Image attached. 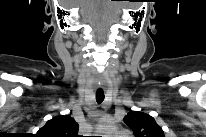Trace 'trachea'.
I'll return each instance as SVG.
<instances>
[{"label":"trachea","mask_w":206,"mask_h":137,"mask_svg":"<svg viewBox=\"0 0 206 137\" xmlns=\"http://www.w3.org/2000/svg\"><path fill=\"white\" fill-rule=\"evenodd\" d=\"M104 92L103 91H98L97 93H96V101H97V103H102L103 102V100H104Z\"/></svg>","instance_id":"3493384b"}]
</instances>
